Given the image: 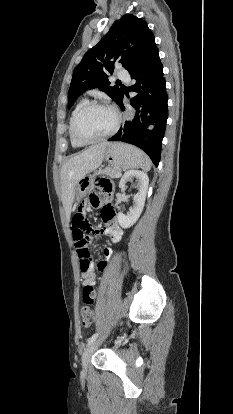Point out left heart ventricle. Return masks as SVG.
Masks as SVG:
<instances>
[{
    "mask_svg": "<svg viewBox=\"0 0 233 414\" xmlns=\"http://www.w3.org/2000/svg\"><path fill=\"white\" fill-rule=\"evenodd\" d=\"M114 122L115 117L110 110L92 108L80 117L76 131L81 138H96L108 133L112 129Z\"/></svg>",
    "mask_w": 233,
    "mask_h": 414,
    "instance_id": "1",
    "label": "left heart ventricle"
}]
</instances>
